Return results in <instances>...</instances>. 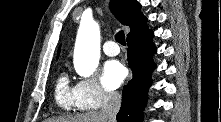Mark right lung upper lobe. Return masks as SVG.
Returning <instances> with one entry per match:
<instances>
[{
    "instance_id": "right-lung-upper-lobe-1",
    "label": "right lung upper lobe",
    "mask_w": 221,
    "mask_h": 122,
    "mask_svg": "<svg viewBox=\"0 0 221 122\" xmlns=\"http://www.w3.org/2000/svg\"><path fill=\"white\" fill-rule=\"evenodd\" d=\"M110 7L116 18L130 27L128 36L140 32L146 27V17L140 12L141 5L136 0H111Z\"/></svg>"
}]
</instances>
